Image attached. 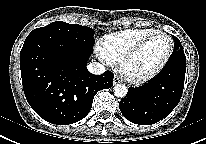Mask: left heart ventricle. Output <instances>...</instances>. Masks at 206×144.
<instances>
[{"label": "left heart ventricle", "mask_w": 206, "mask_h": 144, "mask_svg": "<svg viewBox=\"0 0 206 144\" xmlns=\"http://www.w3.org/2000/svg\"><path fill=\"white\" fill-rule=\"evenodd\" d=\"M169 45V41L165 36L153 37L130 62L129 70L134 74H144L152 71L166 57Z\"/></svg>", "instance_id": "obj_1"}]
</instances>
